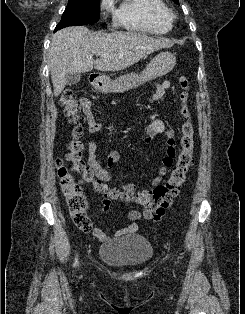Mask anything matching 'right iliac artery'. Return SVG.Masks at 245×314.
Wrapping results in <instances>:
<instances>
[{
	"mask_svg": "<svg viewBox=\"0 0 245 314\" xmlns=\"http://www.w3.org/2000/svg\"><path fill=\"white\" fill-rule=\"evenodd\" d=\"M77 264H78V259L76 258V261H75V264H74V265L76 266Z\"/></svg>",
	"mask_w": 245,
	"mask_h": 314,
	"instance_id": "82829eb1",
	"label": "right iliac artery"
}]
</instances>
